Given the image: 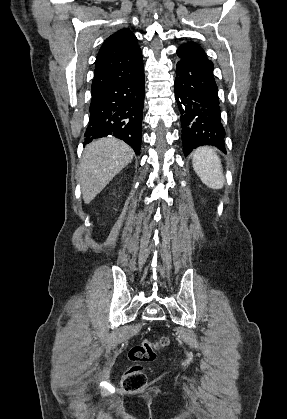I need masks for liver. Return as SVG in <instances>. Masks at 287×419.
Here are the masks:
<instances>
[{
  "label": "liver",
  "instance_id": "1",
  "mask_svg": "<svg viewBox=\"0 0 287 419\" xmlns=\"http://www.w3.org/2000/svg\"><path fill=\"white\" fill-rule=\"evenodd\" d=\"M133 156L132 148L114 137L88 144L78 170L84 203H90L132 161Z\"/></svg>",
  "mask_w": 287,
  "mask_h": 419
}]
</instances>
